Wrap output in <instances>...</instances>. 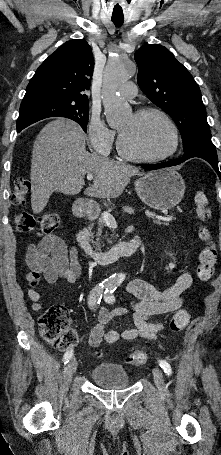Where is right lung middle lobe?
<instances>
[{"instance_id":"1","label":"right lung middle lobe","mask_w":221,"mask_h":455,"mask_svg":"<svg viewBox=\"0 0 221 455\" xmlns=\"http://www.w3.org/2000/svg\"><path fill=\"white\" fill-rule=\"evenodd\" d=\"M89 103L86 101H50L20 106L17 131L48 117H65L87 131Z\"/></svg>"}]
</instances>
